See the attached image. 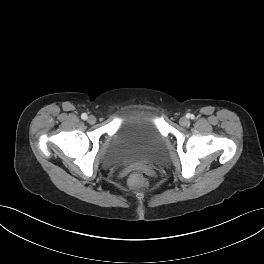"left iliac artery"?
Instances as JSON below:
<instances>
[{
	"label": "left iliac artery",
	"instance_id": "1",
	"mask_svg": "<svg viewBox=\"0 0 264 264\" xmlns=\"http://www.w3.org/2000/svg\"><path fill=\"white\" fill-rule=\"evenodd\" d=\"M189 117H190L191 119H193V118H194V115H193V114H190Z\"/></svg>",
	"mask_w": 264,
	"mask_h": 264
}]
</instances>
